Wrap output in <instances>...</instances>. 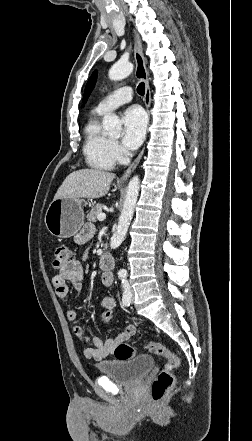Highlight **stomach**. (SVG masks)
Masks as SVG:
<instances>
[{"label": "stomach", "instance_id": "obj_1", "mask_svg": "<svg viewBox=\"0 0 252 441\" xmlns=\"http://www.w3.org/2000/svg\"><path fill=\"white\" fill-rule=\"evenodd\" d=\"M86 204L82 198L54 199L45 214L48 231L58 238L74 236L84 223L83 207Z\"/></svg>", "mask_w": 252, "mask_h": 441}]
</instances>
